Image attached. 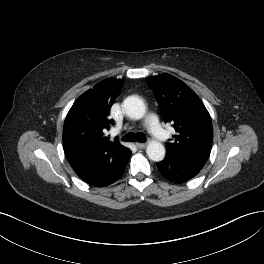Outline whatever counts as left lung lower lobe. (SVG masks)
<instances>
[{
	"label": "left lung lower lobe",
	"instance_id": "0a47b994",
	"mask_svg": "<svg viewBox=\"0 0 264 264\" xmlns=\"http://www.w3.org/2000/svg\"><path fill=\"white\" fill-rule=\"evenodd\" d=\"M156 164L161 174L175 183H184L192 179L202 168L201 165L181 163L169 157Z\"/></svg>",
	"mask_w": 264,
	"mask_h": 264
}]
</instances>
